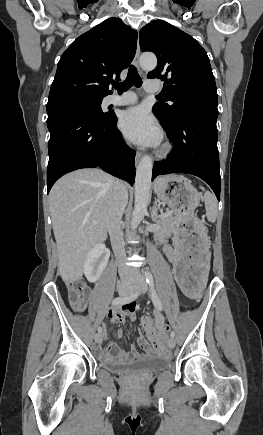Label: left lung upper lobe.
Wrapping results in <instances>:
<instances>
[{
  "instance_id": "5c2ea615",
  "label": "left lung upper lobe",
  "mask_w": 263,
  "mask_h": 435,
  "mask_svg": "<svg viewBox=\"0 0 263 435\" xmlns=\"http://www.w3.org/2000/svg\"><path fill=\"white\" fill-rule=\"evenodd\" d=\"M142 51L156 54L157 67L148 78L164 81L167 103H156L154 114L162 124L171 126L185 116L217 119V90L209 58L190 35L162 20L152 21L139 33Z\"/></svg>"
}]
</instances>
